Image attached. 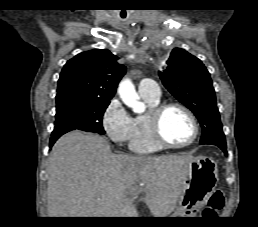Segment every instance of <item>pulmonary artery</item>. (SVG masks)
Wrapping results in <instances>:
<instances>
[{
	"label": "pulmonary artery",
	"instance_id": "e3ab8cb5",
	"mask_svg": "<svg viewBox=\"0 0 258 227\" xmlns=\"http://www.w3.org/2000/svg\"><path fill=\"white\" fill-rule=\"evenodd\" d=\"M138 92L143 98L160 99L161 91L158 84L151 79H143L139 82Z\"/></svg>",
	"mask_w": 258,
	"mask_h": 227
}]
</instances>
